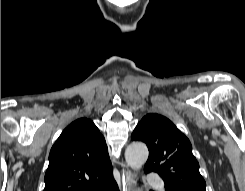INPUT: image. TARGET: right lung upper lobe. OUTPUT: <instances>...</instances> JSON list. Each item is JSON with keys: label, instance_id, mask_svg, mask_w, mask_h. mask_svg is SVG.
Wrapping results in <instances>:
<instances>
[{"label": "right lung upper lobe", "instance_id": "1", "mask_svg": "<svg viewBox=\"0 0 245 191\" xmlns=\"http://www.w3.org/2000/svg\"><path fill=\"white\" fill-rule=\"evenodd\" d=\"M112 178L104 137L91 120L80 118L51 148L44 191H90Z\"/></svg>", "mask_w": 245, "mask_h": 191}]
</instances>
